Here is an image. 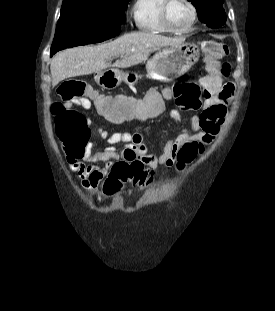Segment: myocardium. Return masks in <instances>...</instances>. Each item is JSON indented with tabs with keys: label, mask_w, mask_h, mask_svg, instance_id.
<instances>
[{
	"label": "myocardium",
	"mask_w": 275,
	"mask_h": 311,
	"mask_svg": "<svg viewBox=\"0 0 275 311\" xmlns=\"http://www.w3.org/2000/svg\"><path fill=\"white\" fill-rule=\"evenodd\" d=\"M184 1L189 5L191 9L192 18H191L190 23L186 27L179 29V28L174 27L169 19V14H168L169 7H170V4L173 2V0H163L161 9H160L161 21L163 25L165 26V28L171 33H176V34L186 33L190 31L197 22L198 11H197L195 4L193 3L192 0H184Z\"/></svg>",
	"instance_id": "myocardium-1"
}]
</instances>
